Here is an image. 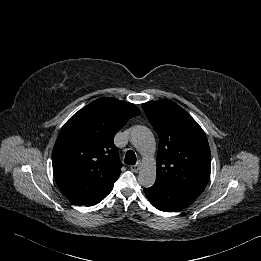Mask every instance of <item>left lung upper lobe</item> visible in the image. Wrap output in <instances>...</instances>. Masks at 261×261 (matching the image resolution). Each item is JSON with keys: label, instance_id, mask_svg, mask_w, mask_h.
Returning <instances> with one entry per match:
<instances>
[{"label": "left lung upper lobe", "instance_id": "obj_1", "mask_svg": "<svg viewBox=\"0 0 261 261\" xmlns=\"http://www.w3.org/2000/svg\"><path fill=\"white\" fill-rule=\"evenodd\" d=\"M142 108L159 136L155 183L200 195L209 181L211 167L203 129L173 101H149Z\"/></svg>", "mask_w": 261, "mask_h": 261}]
</instances>
